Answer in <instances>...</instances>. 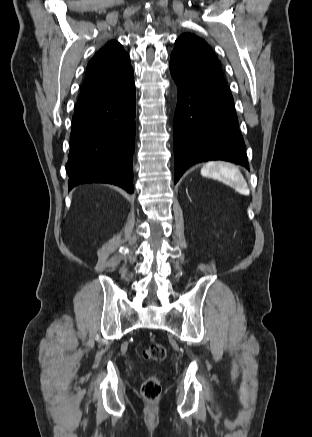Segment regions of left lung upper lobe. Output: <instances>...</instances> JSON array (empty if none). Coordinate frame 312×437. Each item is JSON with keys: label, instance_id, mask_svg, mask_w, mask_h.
Returning a JSON list of instances; mask_svg holds the SVG:
<instances>
[{"label": "left lung upper lobe", "instance_id": "5c2ea615", "mask_svg": "<svg viewBox=\"0 0 312 437\" xmlns=\"http://www.w3.org/2000/svg\"><path fill=\"white\" fill-rule=\"evenodd\" d=\"M172 53L226 84L219 60L203 39L189 33L183 34L175 41Z\"/></svg>", "mask_w": 312, "mask_h": 437}]
</instances>
